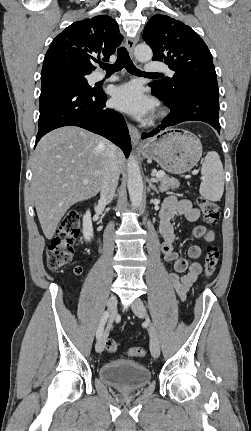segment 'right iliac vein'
I'll use <instances>...</instances> for the list:
<instances>
[{
    "label": "right iliac vein",
    "instance_id": "obj_1",
    "mask_svg": "<svg viewBox=\"0 0 251 431\" xmlns=\"http://www.w3.org/2000/svg\"><path fill=\"white\" fill-rule=\"evenodd\" d=\"M116 306H117V297L115 295H112L107 302V309L109 313L110 322L115 317ZM107 336H108V330H106L104 334L98 339L95 347L98 353H101L104 350Z\"/></svg>",
    "mask_w": 251,
    "mask_h": 431
}]
</instances>
